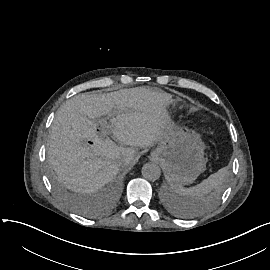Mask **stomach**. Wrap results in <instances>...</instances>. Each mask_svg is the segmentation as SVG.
Listing matches in <instances>:
<instances>
[{
    "label": "stomach",
    "mask_w": 270,
    "mask_h": 270,
    "mask_svg": "<svg viewBox=\"0 0 270 270\" xmlns=\"http://www.w3.org/2000/svg\"><path fill=\"white\" fill-rule=\"evenodd\" d=\"M201 135L186 125H169L163 131L150 160L160 163L172 184L192 183L206 169Z\"/></svg>",
    "instance_id": "0dacf381"
}]
</instances>
